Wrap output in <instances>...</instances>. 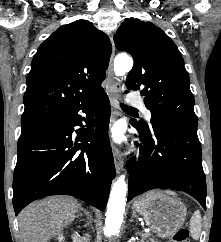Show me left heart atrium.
I'll list each match as a JSON object with an SVG mask.
<instances>
[{"instance_id":"obj_1","label":"left heart atrium","mask_w":221,"mask_h":242,"mask_svg":"<svg viewBox=\"0 0 221 242\" xmlns=\"http://www.w3.org/2000/svg\"><path fill=\"white\" fill-rule=\"evenodd\" d=\"M110 134L112 139L117 143H121L124 140L123 129L120 125L114 126Z\"/></svg>"}]
</instances>
